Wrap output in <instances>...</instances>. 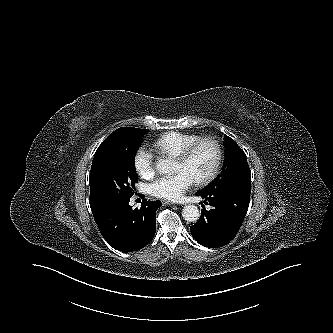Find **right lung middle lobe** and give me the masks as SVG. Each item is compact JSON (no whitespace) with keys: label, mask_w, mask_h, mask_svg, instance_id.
Instances as JSON below:
<instances>
[{"label":"right lung middle lobe","mask_w":333,"mask_h":333,"mask_svg":"<svg viewBox=\"0 0 333 333\" xmlns=\"http://www.w3.org/2000/svg\"><path fill=\"white\" fill-rule=\"evenodd\" d=\"M147 129H133L99 146L90 171V194L100 206L133 195L138 177L135 155Z\"/></svg>","instance_id":"right-lung-middle-lobe-1"}]
</instances>
